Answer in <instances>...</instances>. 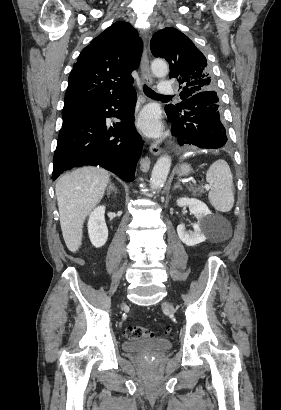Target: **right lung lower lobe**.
<instances>
[{
    "label": "right lung lower lobe",
    "mask_w": 281,
    "mask_h": 410,
    "mask_svg": "<svg viewBox=\"0 0 281 410\" xmlns=\"http://www.w3.org/2000/svg\"><path fill=\"white\" fill-rule=\"evenodd\" d=\"M136 98L132 87L63 124L54 154L52 178L55 180L65 170L91 165L101 166L125 181H133L143 146L134 126ZM112 107L118 110L115 112ZM115 115L121 122L108 128L106 118Z\"/></svg>",
    "instance_id": "obj_1"
}]
</instances>
